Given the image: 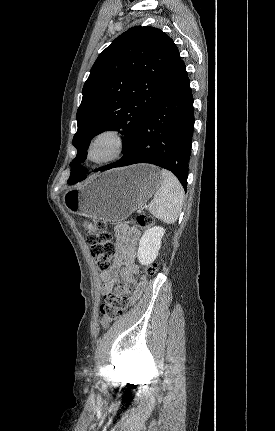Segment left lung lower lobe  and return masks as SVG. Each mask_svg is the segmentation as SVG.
<instances>
[{
  "instance_id": "1",
  "label": "left lung lower lobe",
  "mask_w": 275,
  "mask_h": 431,
  "mask_svg": "<svg viewBox=\"0 0 275 431\" xmlns=\"http://www.w3.org/2000/svg\"><path fill=\"white\" fill-rule=\"evenodd\" d=\"M193 101L186 66L180 59L127 152L102 170L150 163L173 172L186 190L194 130ZM85 178L83 173L76 174L68 183L75 184Z\"/></svg>"
}]
</instances>
